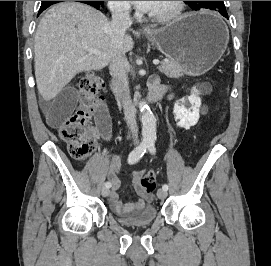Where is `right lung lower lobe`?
Instances as JSON below:
<instances>
[{"mask_svg": "<svg viewBox=\"0 0 271 266\" xmlns=\"http://www.w3.org/2000/svg\"><path fill=\"white\" fill-rule=\"evenodd\" d=\"M58 2H61V1H56L54 3H47V4H43L41 5L40 9H39V13H42L46 8H48L50 5L52 4H55V3H58ZM78 2H82V3H86L88 5H91L93 7H95L96 9H99L102 5H103V1H78Z\"/></svg>", "mask_w": 271, "mask_h": 266, "instance_id": "1", "label": "right lung lower lobe"}]
</instances>
